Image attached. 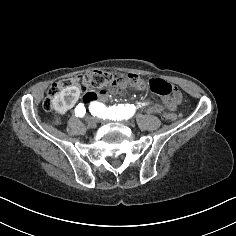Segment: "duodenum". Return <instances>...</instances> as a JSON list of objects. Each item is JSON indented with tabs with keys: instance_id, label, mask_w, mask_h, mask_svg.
<instances>
[{
	"instance_id": "410a0bca",
	"label": "duodenum",
	"mask_w": 236,
	"mask_h": 236,
	"mask_svg": "<svg viewBox=\"0 0 236 236\" xmlns=\"http://www.w3.org/2000/svg\"><path fill=\"white\" fill-rule=\"evenodd\" d=\"M99 101H101L102 102V104H107V100H108V97L106 96V95H101V96H99Z\"/></svg>"
}]
</instances>
